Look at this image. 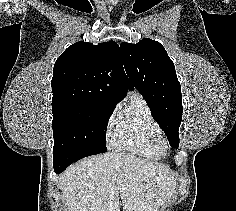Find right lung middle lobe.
Returning <instances> with one entry per match:
<instances>
[{"label": "right lung middle lobe", "mask_w": 236, "mask_h": 211, "mask_svg": "<svg viewBox=\"0 0 236 211\" xmlns=\"http://www.w3.org/2000/svg\"><path fill=\"white\" fill-rule=\"evenodd\" d=\"M115 106L70 103L52 108L54 152L71 149L106 151L105 129Z\"/></svg>", "instance_id": "dd1d6c3e"}]
</instances>
